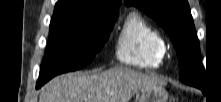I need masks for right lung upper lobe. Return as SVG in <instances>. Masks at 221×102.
<instances>
[{
  "mask_svg": "<svg viewBox=\"0 0 221 102\" xmlns=\"http://www.w3.org/2000/svg\"><path fill=\"white\" fill-rule=\"evenodd\" d=\"M122 0H58L53 14L119 12Z\"/></svg>",
  "mask_w": 221,
  "mask_h": 102,
  "instance_id": "1",
  "label": "right lung upper lobe"
}]
</instances>
